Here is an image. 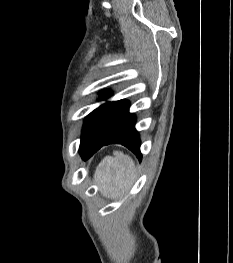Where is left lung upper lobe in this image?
<instances>
[{
	"instance_id": "1",
	"label": "left lung upper lobe",
	"mask_w": 233,
	"mask_h": 263,
	"mask_svg": "<svg viewBox=\"0 0 233 263\" xmlns=\"http://www.w3.org/2000/svg\"><path fill=\"white\" fill-rule=\"evenodd\" d=\"M107 94H103L102 97H106ZM110 102H107L97 109H95L93 112H91L85 119L83 130H82V136H81V144H80V150L87 144L90 137L93 134L94 128L96 126V123L98 122L100 116L105 111V109L109 106Z\"/></svg>"
}]
</instances>
